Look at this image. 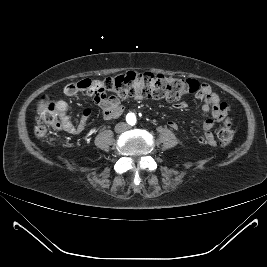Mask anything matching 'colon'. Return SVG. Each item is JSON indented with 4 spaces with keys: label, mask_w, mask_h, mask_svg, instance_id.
Wrapping results in <instances>:
<instances>
[{
    "label": "colon",
    "mask_w": 267,
    "mask_h": 267,
    "mask_svg": "<svg viewBox=\"0 0 267 267\" xmlns=\"http://www.w3.org/2000/svg\"><path fill=\"white\" fill-rule=\"evenodd\" d=\"M79 86L92 95L96 102L115 97L154 98L176 101L199 93L203 84L193 79H180L161 74L126 72L104 80L84 79ZM60 122L55 104L45 101L38 110L35 134L44 137L50 129H59ZM222 146H229L234 137L230 120L226 119L217 132Z\"/></svg>",
    "instance_id": "1"
}]
</instances>
